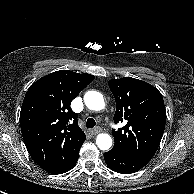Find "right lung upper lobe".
<instances>
[{"mask_svg": "<svg viewBox=\"0 0 194 194\" xmlns=\"http://www.w3.org/2000/svg\"><path fill=\"white\" fill-rule=\"evenodd\" d=\"M94 79L60 70L29 87L20 112L21 132L30 156L45 171L59 174L79 156L86 136L70 103Z\"/></svg>", "mask_w": 194, "mask_h": 194, "instance_id": "obj_1", "label": "right lung upper lobe"}]
</instances>
